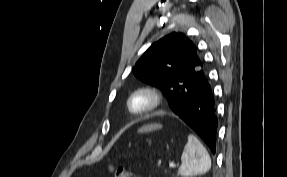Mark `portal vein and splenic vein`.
<instances>
[{"label": "portal vein and splenic vein", "mask_w": 287, "mask_h": 177, "mask_svg": "<svg viewBox=\"0 0 287 177\" xmlns=\"http://www.w3.org/2000/svg\"><path fill=\"white\" fill-rule=\"evenodd\" d=\"M176 165H174V164H172V163H170L169 164V168H174Z\"/></svg>", "instance_id": "portal-vein-and-splenic-vein-1"}]
</instances>
